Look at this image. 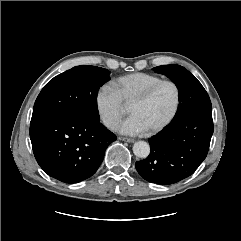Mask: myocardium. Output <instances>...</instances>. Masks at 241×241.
I'll use <instances>...</instances> for the list:
<instances>
[{"mask_svg":"<svg viewBox=\"0 0 241 241\" xmlns=\"http://www.w3.org/2000/svg\"><path fill=\"white\" fill-rule=\"evenodd\" d=\"M163 85H171L174 88L175 104H174V107H173L171 113L169 114V116L162 123L149 129V132L152 134L158 133V132L164 130L175 119V117L179 111L180 105H181V89H180L179 85L173 80L162 79V80L156 82L155 84H153L152 86H150L148 89H146L142 94L137 96L130 103V106H131V105L143 104V103L147 102L153 96V94Z\"/></svg>","mask_w":241,"mask_h":241,"instance_id":"f54148a6","label":"myocardium"}]
</instances>
